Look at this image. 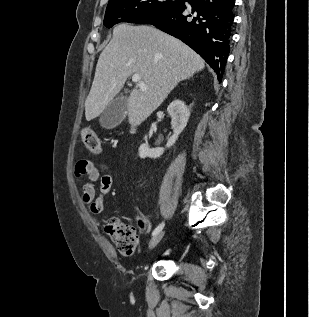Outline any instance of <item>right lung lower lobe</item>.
Segmentation results:
<instances>
[{
  "label": "right lung lower lobe",
  "instance_id": "right-lung-lower-lobe-1",
  "mask_svg": "<svg viewBox=\"0 0 309 317\" xmlns=\"http://www.w3.org/2000/svg\"><path fill=\"white\" fill-rule=\"evenodd\" d=\"M185 4L144 17L136 23L152 24L195 50L222 80L230 51L234 0H186Z\"/></svg>",
  "mask_w": 309,
  "mask_h": 317
}]
</instances>
